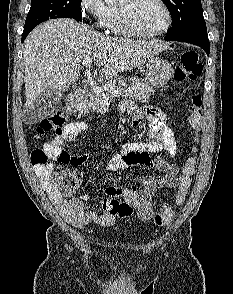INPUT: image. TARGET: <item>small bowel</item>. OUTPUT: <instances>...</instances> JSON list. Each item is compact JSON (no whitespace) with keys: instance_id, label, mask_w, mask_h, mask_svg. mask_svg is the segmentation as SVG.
Segmentation results:
<instances>
[{"instance_id":"small-bowel-1","label":"small bowel","mask_w":233,"mask_h":294,"mask_svg":"<svg viewBox=\"0 0 233 294\" xmlns=\"http://www.w3.org/2000/svg\"><path fill=\"white\" fill-rule=\"evenodd\" d=\"M143 108L138 109L129 101L121 104L122 112L131 115L133 126H139L143 117L149 122L148 140L144 142H128L121 146L118 153L114 154L108 163L109 171H119L130 166H146L154 168L162 175L147 176L142 181V186L130 185L127 187L107 186L104 189L108 198L102 199L101 213L87 211L84 207L83 195L67 200L54 186L53 166H35L41 184L47 192L51 202L55 205L60 215L71 225L81 228L90 223L100 225L111 224L115 217H128L135 211L138 218L148 221L152 217V197L161 188H174L178 185L179 168L172 161L177 154V144L172 130L166 125L162 111L156 107H148L143 103ZM88 126L83 121L70 122L62 133L45 145L53 160L65 164L81 165L90 157V153L79 156H70L63 148L64 142H74L80 133L86 132ZM165 152L166 157L151 154ZM122 198L123 201H120ZM121 204L132 208L130 214H122L119 210Z\"/></svg>"}]
</instances>
